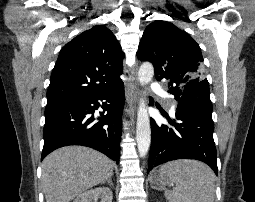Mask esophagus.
Returning <instances> with one entry per match:
<instances>
[{"label": "esophagus", "mask_w": 255, "mask_h": 202, "mask_svg": "<svg viewBox=\"0 0 255 202\" xmlns=\"http://www.w3.org/2000/svg\"><path fill=\"white\" fill-rule=\"evenodd\" d=\"M139 95V87L137 81L136 69L130 70V97H131V112L134 113L136 109L137 99Z\"/></svg>", "instance_id": "34e87169"}]
</instances>
